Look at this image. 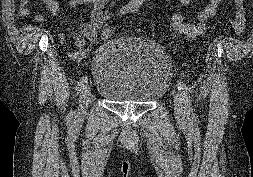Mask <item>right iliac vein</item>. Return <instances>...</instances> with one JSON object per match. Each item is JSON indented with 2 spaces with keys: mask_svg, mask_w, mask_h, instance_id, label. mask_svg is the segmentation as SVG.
Wrapping results in <instances>:
<instances>
[{
  "mask_svg": "<svg viewBox=\"0 0 253 177\" xmlns=\"http://www.w3.org/2000/svg\"><path fill=\"white\" fill-rule=\"evenodd\" d=\"M91 97V88L89 86L85 87L80 96V112L83 114L86 111L89 99Z\"/></svg>",
  "mask_w": 253,
  "mask_h": 177,
  "instance_id": "1",
  "label": "right iliac vein"
}]
</instances>
